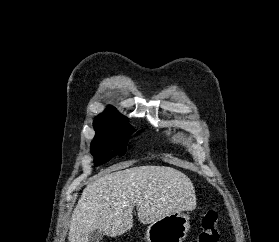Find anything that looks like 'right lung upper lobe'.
I'll use <instances>...</instances> for the list:
<instances>
[{
	"label": "right lung upper lobe",
	"mask_w": 279,
	"mask_h": 242,
	"mask_svg": "<svg viewBox=\"0 0 279 242\" xmlns=\"http://www.w3.org/2000/svg\"><path fill=\"white\" fill-rule=\"evenodd\" d=\"M126 119L115 108L108 107L102 114L95 118L93 124L111 123L117 126L130 125Z\"/></svg>",
	"instance_id": "obj_1"
}]
</instances>
